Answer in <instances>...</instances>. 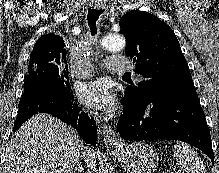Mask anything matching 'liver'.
Masks as SVG:
<instances>
[{
    "label": "liver",
    "mask_w": 219,
    "mask_h": 173,
    "mask_svg": "<svg viewBox=\"0 0 219 173\" xmlns=\"http://www.w3.org/2000/svg\"><path fill=\"white\" fill-rule=\"evenodd\" d=\"M82 157L88 173L94 172L95 154L77 132L50 114L38 113L11 138L2 173H72Z\"/></svg>",
    "instance_id": "6515ba94"
}]
</instances>
